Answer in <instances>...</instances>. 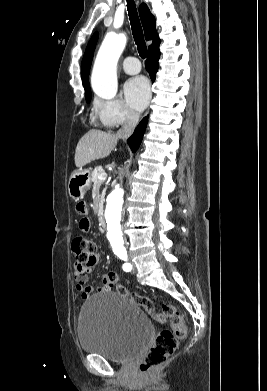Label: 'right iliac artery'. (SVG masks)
<instances>
[{"mask_svg":"<svg viewBox=\"0 0 267 391\" xmlns=\"http://www.w3.org/2000/svg\"><path fill=\"white\" fill-rule=\"evenodd\" d=\"M122 259L125 260V261H127V257H124V258H122ZM131 269H132V266H131L130 263H125V264H123V270H124V271L128 272V271H131Z\"/></svg>","mask_w":267,"mask_h":391,"instance_id":"1","label":"right iliac artery"}]
</instances>
